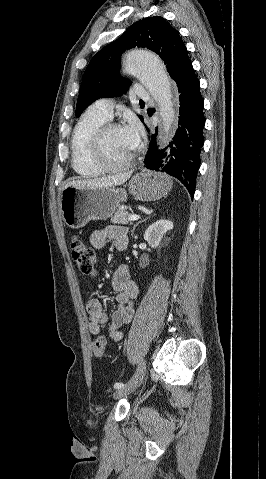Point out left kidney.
Instances as JSON below:
<instances>
[{"label":"left kidney","mask_w":266,"mask_h":479,"mask_svg":"<svg viewBox=\"0 0 266 479\" xmlns=\"http://www.w3.org/2000/svg\"><path fill=\"white\" fill-rule=\"evenodd\" d=\"M173 229V223L170 220H158L151 224L144 234V240L149 243H157L167 231Z\"/></svg>","instance_id":"obj_1"}]
</instances>
